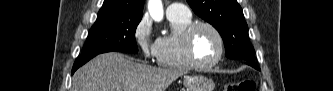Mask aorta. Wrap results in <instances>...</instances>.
Here are the masks:
<instances>
[{
	"mask_svg": "<svg viewBox=\"0 0 333 91\" xmlns=\"http://www.w3.org/2000/svg\"><path fill=\"white\" fill-rule=\"evenodd\" d=\"M149 11L155 20H157V21L161 20L162 16H163L161 1L160 0H150Z\"/></svg>",
	"mask_w": 333,
	"mask_h": 91,
	"instance_id": "762f6f07",
	"label": "aorta"
}]
</instances>
